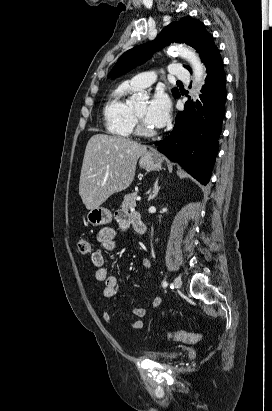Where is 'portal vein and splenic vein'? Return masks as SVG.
Here are the masks:
<instances>
[{
  "mask_svg": "<svg viewBox=\"0 0 272 411\" xmlns=\"http://www.w3.org/2000/svg\"><path fill=\"white\" fill-rule=\"evenodd\" d=\"M136 200H137V201H140V200H141V197H140V196H137V197H136Z\"/></svg>",
  "mask_w": 272,
  "mask_h": 411,
  "instance_id": "18ae733b",
  "label": "portal vein and splenic vein"
}]
</instances>
